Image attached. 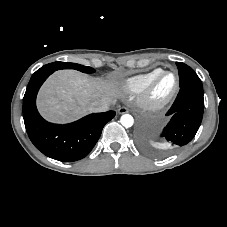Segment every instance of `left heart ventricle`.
Returning a JSON list of instances; mask_svg holds the SVG:
<instances>
[{"label":"left heart ventricle","mask_w":227,"mask_h":227,"mask_svg":"<svg viewBox=\"0 0 227 227\" xmlns=\"http://www.w3.org/2000/svg\"><path fill=\"white\" fill-rule=\"evenodd\" d=\"M173 83H174L173 76L171 74L165 75L157 86L156 95L158 96L165 95L171 89Z\"/></svg>","instance_id":"1"}]
</instances>
